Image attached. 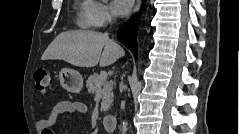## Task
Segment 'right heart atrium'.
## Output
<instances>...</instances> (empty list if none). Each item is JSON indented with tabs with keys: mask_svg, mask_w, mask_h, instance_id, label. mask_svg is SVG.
<instances>
[{
	"mask_svg": "<svg viewBox=\"0 0 239 134\" xmlns=\"http://www.w3.org/2000/svg\"><path fill=\"white\" fill-rule=\"evenodd\" d=\"M90 16L92 24L95 27H103L114 19L111 7L99 1L91 2Z\"/></svg>",
	"mask_w": 239,
	"mask_h": 134,
	"instance_id": "obj_1",
	"label": "right heart atrium"
}]
</instances>
